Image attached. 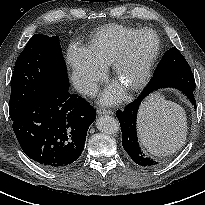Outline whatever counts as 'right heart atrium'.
<instances>
[{
	"mask_svg": "<svg viewBox=\"0 0 205 205\" xmlns=\"http://www.w3.org/2000/svg\"><path fill=\"white\" fill-rule=\"evenodd\" d=\"M67 61L76 87L85 94H92L104 77V66L96 62L89 51L76 44L69 47Z\"/></svg>",
	"mask_w": 205,
	"mask_h": 205,
	"instance_id": "right-heart-atrium-1",
	"label": "right heart atrium"
}]
</instances>
